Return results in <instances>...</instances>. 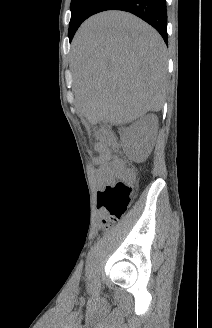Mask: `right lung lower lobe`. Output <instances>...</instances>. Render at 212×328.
Listing matches in <instances>:
<instances>
[{"instance_id":"98d812e1","label":"right lung lower lobe","mask_w":212,"mask_h":328,"mask_svg":"<svg viewBox=\"0 0 212 328\" xmlns=\"http://www.w3.org/2000/svg\"><path fill=\"white\" fill-rule=\"evenodd\" d=\"M106 10L130 12L153 26L167 43L166 0H95L86 19Z\"/></svg>"}]
</instances>
